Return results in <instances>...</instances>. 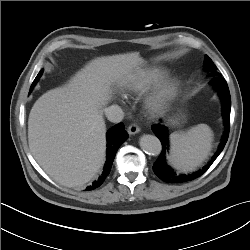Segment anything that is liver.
<instances>
[{
  "mask_svg": "<svg viewBox=\"0 0 250 250\" xmlns=\"http://www.w3.org/2000/svg\"><path fill=\"white\" fill-rule=\"evenodd\" d=\"M144 62L138 52L98 57L62 87L44 93L28 119L33 157L55 181L82 186L101 168L106 152L102 107L111 85L131 77Z\"/></svg>",
  "mask_w": 250,
  "mask_h": 250,
  "instance_id": "obj_1",
  "label": "liver"
}]
</instances>
